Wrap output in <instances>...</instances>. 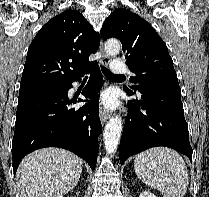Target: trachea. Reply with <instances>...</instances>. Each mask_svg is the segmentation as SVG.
<instances>
[{
    "label": "trachea",
    "mask_w": 209,
    "mask_h": 197,
    "mask_svg": "<svg viewBox=\"0 0 209 197\" xmlns=\"http://www.w3.org/2000/svg\"><path fill=\"white\" fill-rule=\"evenodd\" d=\"M101 70H102V73L105 75V77H107L109 79H112V78H122V77H124L123 75L113 74L110 70H108L104 66H101Z\"/></svg>",
    "instance_id": "obj_1"
}]
</instances>
